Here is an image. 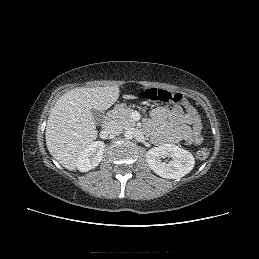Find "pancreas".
<instances>
[{
	"mask_svg": "<svg viewBox=\"0 0 259 259\" xmlns=\"http://www.w3.org/2000/svg\"><path fill=\"white\" fill-rule=\"evenodd\" d=\"M131 109L127 108H116L112 111L111 117L114 122L120 124L123 127H134L135 122L131 118Z\"/></svg>",
	"mask_w": 259,
	"mask_h": 259,
	"instance_id": "1",
	"label": "pancreas"
}]
</instances>
